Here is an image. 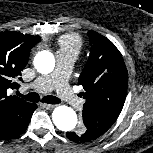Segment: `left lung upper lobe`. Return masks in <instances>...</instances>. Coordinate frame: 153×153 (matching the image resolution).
Segmentation results:
<instances>
[{"instance_id": "obj_1", "label": "left lung upper lobe", "mask_w": 153, "mask_h": 153, "mask_svg": "<svg viewBox=\"0 0 153 153\" xmlns=\"http://www.w3.org/2000/svg\"><path fill=\"white\" fill-rule=\"evenodd\" d=\"M90 56L78 84L86 100L83 105L85 132L101 136L118 118L127 94L128 75L123 58L106 37L89 31Z\"/></svg>"}]
</instances>
